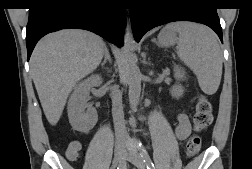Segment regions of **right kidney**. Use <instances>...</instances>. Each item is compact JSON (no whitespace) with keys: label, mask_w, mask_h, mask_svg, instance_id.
Here are the masks:
<instances>
[{"label":"right kidney","mask_w":252,"mask_h":169,"mask_svg":"<svg viewBox=\"0 0 252 169\" xmlns=\"http://www.w3.org/2000/svg\"><path fill=\"white\" fill-rule=\"evenodd\" d=\"M102 83L99 75H92L80 82L71 94L68 101V118L73 129L80 132H89L97 123V111L88 107L87 97L92 86H98ZM87 108V112L85 109Z\"/></svg>","instance_id":"right-kidney-1"}]
</instances>
